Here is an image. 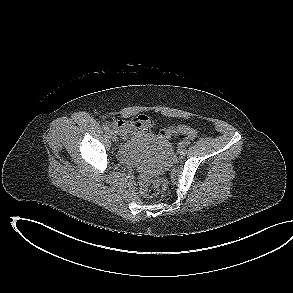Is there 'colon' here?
I'll return each mask as SVG.
<instances>
[{"label":"colon","mask_w":293,"mask_h":293,"mask_svg":"<svg viewBox=\"0 0 293 293\" xmlns=\"http://www.w3.org/2000/svg\"><path fill=\"white\" fill-rule=\"evenodd\" d=\"M176 133L185 134L190 138H195L197 136L196 130L185 125L165 129L160 133V135L162 138L168 139ZM167 185V181L163 178L154 180L145 178L140 183V192L143 196L151 198L165 191Z\"/></svg>","instance_id":"5ec220e1"}]
</instances>
